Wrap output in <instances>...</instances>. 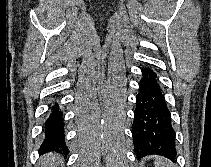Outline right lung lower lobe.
Listing matches in <instances>:
<instances>
[{
	"label": "right lung lower lobe",
	"mask_w": 211,
	"mask_h": 167,
	"mask_svg": "<svg viewBox=\"0 0 211 167\" xmlns=\"http://www.w3.org/2000/svg\"><path fill=\"white\" fill-rule=\"evenodd\" d=\"M45 139L41 144L40 150L42 152L60 151L68 153V147L65 143L63 113L59 109L58 104L51 107L49 117L45 122Z\"/></svg>",
	"instance_id": "obj_1"
}]
</instances>
